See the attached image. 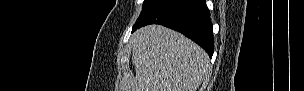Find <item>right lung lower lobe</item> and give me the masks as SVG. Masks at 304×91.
I'll use <instances>...</instances> for the list:
<instances>
[{"mask_svg":"<svg viewBox=\"0 0 304 91\" xmlns=\"http://www.w3.org/2000/svg\"><path fill=\"white\" fill-rule=\"evenodd\" d=\"M149 24H160L184 34L212 57L213 30L205 0H153L142 10L132 32Z\"/></svg>","mask_w":304,"mask_h":91,"instance_id":"98d812e1","label":"right lung lower lobe"}]
</instances>
